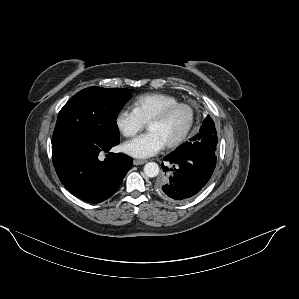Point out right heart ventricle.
<instances>
[{
	"label": "right heart ventricle",
	"instance_id": "e07e8e85",
	"mask_svg": "<svg viewBox=\"0 0 299 299\" xmlns=\"http://www.w3.org/2000/svg\"><path fill=\"white\" fill-rule=\"evenodd\" d=\"M178 102H180L179 99L174 95L155 92L136 97L132 103V107L138 117L146 124L163 108Z\"/></svg>",
	"mask_w": 299,
	"mask_h": 299
}]
</instances>
